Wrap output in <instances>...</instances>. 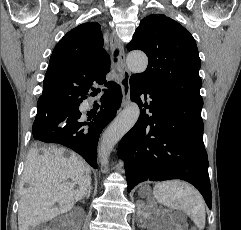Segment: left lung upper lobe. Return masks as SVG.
I'll list each match as a JSON object with an SVG mask.
<instances>
[{
    "label": "left lung upper lobe",
    "mask_w": 241,
    "mask_h": 230,
    "mask_svg": "<svg viewBox=\"0 0 241 230\" xmlns=\"http://www.w3.org/2000/svg\"><path fill=\"white\" fill-rule=\"evenodd\" d=\"M127 49H139L148 56L147 70L132 75L138 83L203 106L199 53L183 26L163 14L149 15L141 20Z\"/></svg>",
    "instance_id": "left-lung-upper-lobe-1"
}]
</instances>
